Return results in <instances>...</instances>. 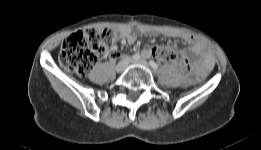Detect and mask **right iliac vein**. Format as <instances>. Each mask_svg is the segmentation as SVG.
Wrapping results in <instances>:
<instances>
[{"label": "right iliac vein", "instance_id": "1", "mask_svg": "<svg viewBox=\"0 0 261 150\" xmlns=\"http://www.w3.org/2000/svg\"><path fill=\"white\" fill-rule=\"evenodd\" d=\"M130 62V58L126 57L124 58L122 61H120L117 66H116V71L117 72H122L126 69V67L128 66Z\"/></svg>", "mask_w": 261, "mask_h": 150}]
</instances>
